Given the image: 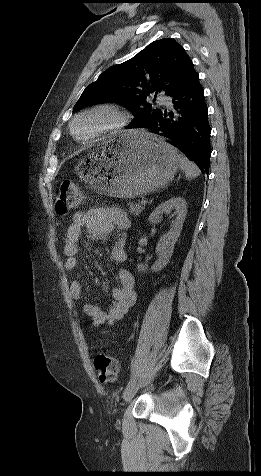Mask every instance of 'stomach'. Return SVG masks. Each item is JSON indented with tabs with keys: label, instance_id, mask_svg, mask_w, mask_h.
Returning a JSON list of instances; mask_svg holds the SVG:
<instances>
[{
	"label": "stomach",
	"instance_id": "stomach-1",
	"mask_svg": "<svg viewBox=\"0 0 261 476\" xmlns=\"http://www.w3.org/2000/svg\"><path fill=\"white\" fill-rule=\"evenodd\" d=\"M178 168L177 151L162 138L130 131L90 151L75 170L100 193L135 198L165 187Z\"/></svg>",
	"mask_w": 261,
	"mask_h": 476
}]
</instances>
